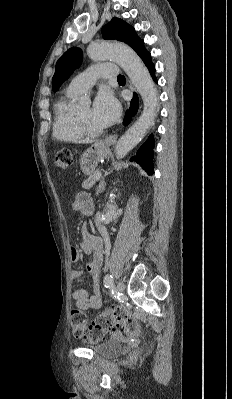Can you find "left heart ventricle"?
I'll use <instances>...</instances> for the list:
<instances>
[{"label":"left heart ventricle","instance_id":"b2bd125f","mask_svg":"<svg viewBox=\"0 0 232 399\" xmlns=\"http://www.w3.org/2000/svg\"><path fill=\"white\" fill-rule=\"evenodd\" d=\"M77 115H79L86 122L89 128L94 131H103L106 129L93 119L91 114V108L89 106L83 107Z\"/></svg>","mask_w":232,"mask_h":399}]
</instances>
